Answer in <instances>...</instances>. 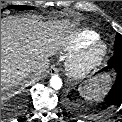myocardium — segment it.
<instances>
[{"mask_svg":"<svg viewBox=\"0 0 122 122\" xmlns=\"http://www.w3.org/2000/svg\"><path fill=\"white\" fill-rule=\"evenodd\" d=\"M108 53V45L103 41H96L79 50L68 60V71L73 77H84L97 68Z\"/></svg>","mask_w":122,"mask_h":122,"instance_id":"myocardium-1","label":"myocardium"}]
</instances>
